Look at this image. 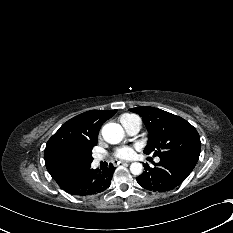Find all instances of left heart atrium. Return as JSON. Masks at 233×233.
<instances>
[{
	"label": "left heart atrium",
	"mask_w": 233,
	"mask_h": 233,
	"mask_svg": "<svg viewBox=\"0 0 233 233\" xmlns=\"http://www.w3.org/2000/svg\"><path fill=\"white\" fill-rule=\"evenodd\" d=\"M115 157L122 160L132 159L135 156V150L132 147H121L116 150Z\"/></svg>",
	"instance_id": "left-heart-atrium-1"
}]
</instances>
